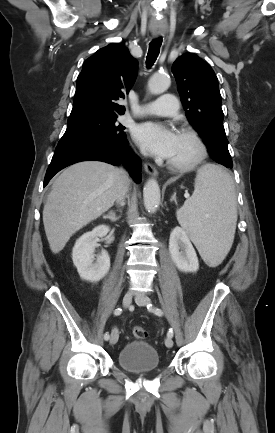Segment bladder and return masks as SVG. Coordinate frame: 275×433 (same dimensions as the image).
<instances>
[{
	"label": "bladder",
	"instance_id": "31cf9c89",
	"mask_svg": "<svg viewBox=\"0 0 275 433\" xmlns=\"http://www.w3.org/2000/svg\"><path fill=\"white\" fill-rule=\"evenodd\" d=\"M119 366L133 374L155 371L160 368L157 350L144 341H130L119 351L117 356Z\"/></svg>",
	"mask_w": 275,
	"mask_h": 433
}]
</instances>
